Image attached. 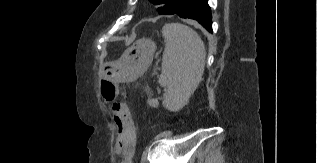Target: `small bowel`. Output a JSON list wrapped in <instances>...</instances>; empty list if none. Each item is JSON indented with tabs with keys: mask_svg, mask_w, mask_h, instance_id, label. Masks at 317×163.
Returning <instances> with one entry per match:
<instances>
[{
	"mask_svg": "<svg viewBox=\"0 0 317 163\" xmlns=\"http://www.w3.org/2000/svg\"><path fill=\"white\" fill-rule=\"evenodd\" d=\"M113 121L117 131L116 142L122 147V162L131 163L136 145V131L127 109L119 105L113 111Z\"/></svg>",
	"mask_w": 317,
	"mask_h": 163,
	"instance_id": "small-bowel-1",
	"label": "small bowel"
}]
</instances>
